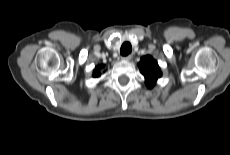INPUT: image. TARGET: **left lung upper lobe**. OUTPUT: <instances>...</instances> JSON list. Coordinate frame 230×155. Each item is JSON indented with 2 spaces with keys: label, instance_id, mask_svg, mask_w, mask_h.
Listing matches in <instances>:
<instances>
[{
  "label": "left lung upper lobe",
  "instance_id": "left-lung-upper-lobe-1",
  "mask_svg": "<svg viewBox=\"0 0 230 155\" xmlns=\"http://www.w3.org/2000/svg\"><path fill=\"white\" fill-rule=\"evenodd\" d=\"M141 73L145 77V83L148 88H152L158 78L162 76V72L156 60L150 55L141 57L138 63Z\"/></svg>",
  "mask_w": 230,
  "mask_h": 155
}]
</instances>
